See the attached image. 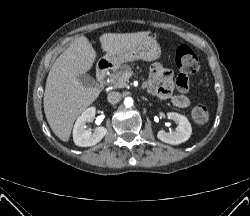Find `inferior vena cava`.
<instances>
[{
	"label": "inferior vena cava",
	"instance_id": "1",
	"mask_svg": "<svg viewBox=\"0 0 250 216\" xmlns=\"http://www.w3.org/2000/svg\"><path fill=\"white\" fill-rule=\"evenodd\" d=\"M121 97L122 95L119 92H110L107 96V100L111 104H117L120 102Z\"/></svg>",
	"mask_w": 250,
	"mask_h": 216
}]
</instances>
